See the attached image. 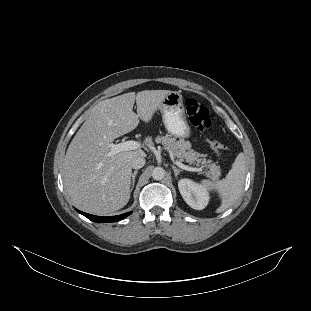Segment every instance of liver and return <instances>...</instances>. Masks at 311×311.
I'll list each match as a JSON object with an SVG mask.
<instances>
[{"mask_svg": "<svg viewBox=\"0 0 311 311\" xmlns=\"http://www.w3.org/2000/svg\"><path fill=\"white\" fill-rule=\"evenodd\" d=\"M171 90L128 92L99 102L68 146L63 160V184L75 205L89 213L107 215L123 208L131 196V161L146 158L140 148L111 157L106 143L152 122ZM136 103L137 114L133 112ZM154 137L143 138L144 147Z\"/></svg>", "mask_w": 311, "mask_h": 311, "instance_id": "6515ba94", "label": "liver"}]
</instances>
